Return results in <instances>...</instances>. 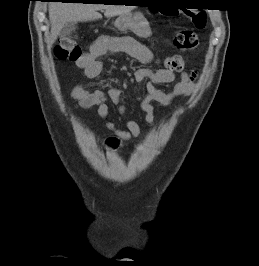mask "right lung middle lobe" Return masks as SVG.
I'll return each instance as SVG.
<instances>
[{
	"label": "right lung middle lobe",
	"instance_id": "obj_1",
	"mask_svg": "<svg viewBox=\"0 0 259 266\" xmlns=\"http://www.w3.org/2000/svg\"><path fill=\"white\" fill-rule=\"evenodd\" d=\"M64 1H67V0H64ZM85 1H87V2H92V1H95V0H85Z\"/></svg>",
	"mask_w": 259,
	"mask_h": 266
}]
</instances>
